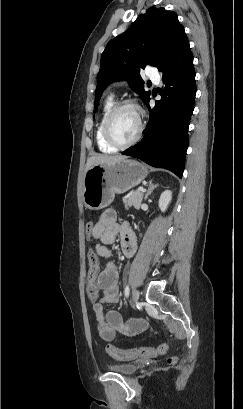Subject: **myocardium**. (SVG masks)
I'll return each instance as SVG.
<instances>
[{
	"label": "myocardium",
	"instance_id": "1",
	"mask_svg": "<svg viewBox=\"0 0 243 409\" xmlns=\"http://www.w3.org/2000/svg\"><path fill=\"white\" fill-rule=\"evenodd\" d=\"M125 107H130L136 110L138 114L139 128H138L137 134L131 140L126 141V142H121V141H118L113 136L111 124L116 114ZM143 132H144V118H143L142 110L140 106L135 101H132V100H123V101L116 103L111 108L109 113L107 114L105 121H104V125H103V135H104L106 142L109 145L117 149H122V148H126V147L134 145L142 137Z\"/></svg>",
	"mask_w": 243,
	"mask_h": 409
}]
</instances>
